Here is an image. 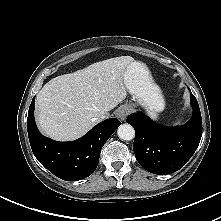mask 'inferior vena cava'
I'll use <instances>...</instances> for the list:
<instances>
[{"label":"inferior vena cava","mask_w":221,"mask_h":221,"mask_svg":"<svg viewBox=\"0 0 221 221\" xmlns=\"http://www.w3.org/2000/svg\"><path fill=\"white\" fill-rule=\"evenodd\" d=\"M105 115L104 114H102L98 119L101 121V120H103V119H105Z\"/></svg>","instance_id":"1"}]
</instances>
